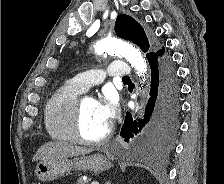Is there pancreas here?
Returning <instances> with one entry per match:
<instances>
[{
  "label": "pancreas",
  "mask_w": 224,
  "mask_h": 184,
  "mask_svg": "<svg viewBox=\"0 0 224 184\" xmlns=\"http://www.w3.org/2000/svg\"><path fill=\"white\" fill-rule=\"evenodd\" d=\"M76 184H85V181L82 178H79L77 180V183Z\"/></svg>",
  "instance_id": "cf45deb5"
}]
</instances>
